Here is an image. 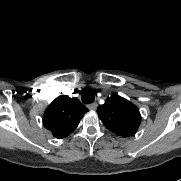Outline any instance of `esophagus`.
Listing matches in <instances>:
<instances>
[{
	"label": "esophagus",
	"instance_id": "esophagus-1",
	"mask_svg": "<svg viewBox=\"0 0 181 181\" xmlns=\"http://www.w3.org/2000/svg\"><path fill=\"white\" fill-rule=\"evenodd\" d=\"M90 110L94 111L97 108V103H91L87 106Z\"/></svg>",
	"mask_w": 181,
	"mask_h": 181
}]
</instances>
